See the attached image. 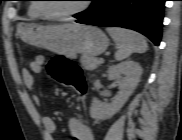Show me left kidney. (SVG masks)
<instances>
[{"label": "left kidney", "mask_w": 182, "mask_h": 140, "mask_svg": "<svg viewBox=\"0 0 182 140\" xmlns=\"http://www.w3.org/2000/svg\"><path fill=\"white\" fill-rule=\"evenodd\" d=\"M107 73L110 80L117 81L119 92L110 103L93 98L90 116L96 120L108 119L124 106L140 81L142 68L139 63L128 60L109 67Z\"/></svg>", "instance_id": "5707ae66"}]
</instances>
